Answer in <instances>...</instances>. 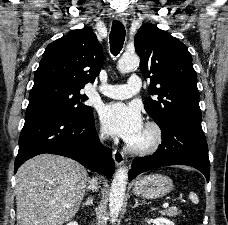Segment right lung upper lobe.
I'll use <instances>...</instances> for the list:
<instances>
[{
    "label": "right lung upper lobe",
    "instance_id": "right-lung-upper-lobe-1",
    "mask_svg": "<svg viewBox=\"0 0 228 225\" xmlns=\"http://www.w3.org/2000/svg\"><path fill=\"white\" fill-rule=\"evenodd\" d=\"M42 57L34 85L61 82L83 88L95 81L104 62L103 48L89 27L72 30L50 43Z\"/></svg>",
    "mask_w": 228,
    "mask_h": 225
}]
</instances>
